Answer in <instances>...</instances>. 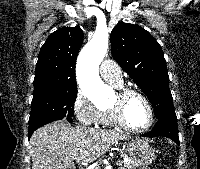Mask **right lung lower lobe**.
<instances>
[{
	"instance_id": "1",
	"label": "right lung lower lobe",
	"mask_w": 200,
	"mask_h": 169,
	"mask_svg": "<svg viewBox=\"0 0 200 169\" xmlns=\"http://www.w3.org/2000/svg\"><path fill=\"white\" fill-rule=\"evenodd\" d=\"M58 119H49V120H43V121H37L33 122L32 124H29V130H28V138L30 139L32 133L39 127L48 124L50 122L56 121ZM67 121L72 122V118H68Z\"/></svg>"
}]
</instances>
